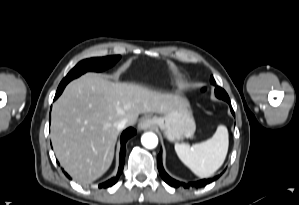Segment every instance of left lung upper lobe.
<instances>
[{
	"label": "left lung upper lobe",
	"mask_w": 299,
	"mask_h": 205,
	"mask_svg": "<svg viewBox=\"0 0 299 205\" xmlns=\"http://www.w3.org/2000/svg\"><path fill=\"white\" fill-rule=\"evenodd\" d=\"M211 83L214 85L216 84L213 77H211ZM215 95L220 99L229 98L227 93L221 87L218 86L215 88Z\"/></svg>",
	"instance_id": "1"
}]
</instances>
